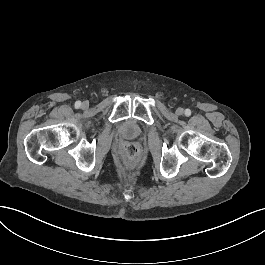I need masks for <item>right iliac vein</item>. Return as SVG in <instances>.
<instances>
[{
    "label": "right iliac vein",
    "mask_w": 265,
    "mask_h": 265,
    "mask_svg": "<svg viewBox=\"0 0 265 265\" xmlns=\"http://www.w3.org/2000/svg\"><path fill=\"white\" fill-rule=\"evenodd\" d=\"M88 106H89V104H88L87 102H83V104H82V108H83V109L88 108Z\"/></svg>",
    "instance_id": "obj_1"
}]
</instances>
